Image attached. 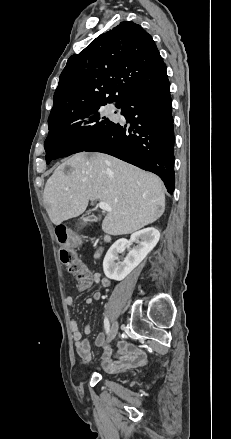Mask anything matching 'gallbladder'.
Wrapping results in <instances>:
<instances>
[{
	"label": "gallbladder",
	"instance_id": "bac80fb5",
	"mask_svg": "<svg viewBox=\"0 0 231 439\" xmlns=\"http://www.w3.org/2000/svg\"><path fill=\"white\" fill-rule=\"evenodd\" d=\"M93 220H95V219L93 218V216H88V217H82V218H81V221H83V222H86V221H93Z\"/></svg>",
	"mask_w": 231,
	"mask_h": 439
}]
</instances>
